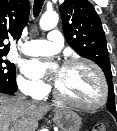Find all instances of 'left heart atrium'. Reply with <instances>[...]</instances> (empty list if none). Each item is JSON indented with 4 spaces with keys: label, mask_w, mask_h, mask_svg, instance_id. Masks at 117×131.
Segmentation results:
<instances>
[{
    "label": "left heart atrium",
    "mask_w": 117,
    "mask_h": 131,
    "mask_svg": "<svg viewBox=\"0 0 117 131\" xmlns=\"http://www.w3.org/2000/svg\"><path fill=\"white\" fill-rule=\"evenodd\" d=\"M50 67H53L55 70L54 79L56 81V73L59 69H57L56 67H54L48 63H42L37 60H32V61H29L25 64L24 69L29 75H31L33 77H40V76L44 75L45 71Z\"/></svg>",
    "instance_id": "1"
}]
</instances>
